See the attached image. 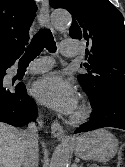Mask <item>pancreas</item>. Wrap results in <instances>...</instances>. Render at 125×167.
<instances>
[{
  "instance_id": "cf45deb5",
  "label": "pancreas",
  "mask_w": 125,
  "mask_h": 167,
  "mask_svg": "<svg viewBox=\"0 0 125 167\" xmlns=\"http://www.w3.org/2000/svg\"><path fill=\"white\" fill-rule=\"evenodd\" d=\"M92 167H99V166H97V165H93Z\"/></svg>"
}]
</instances>
